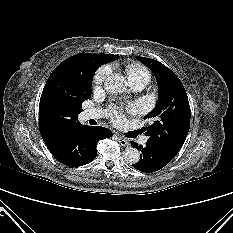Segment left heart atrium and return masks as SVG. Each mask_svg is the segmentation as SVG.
I'll return each mask as SVG.
<instances>
[{
	"label": "left heart atrium",
	"mask_w": 233,
	"mask_h": 233,
	"mask_svg": "<svg viewBox=\"0 0 233 233\" xmlns=\"http://www.w3.org/2000/svg\"><path fill=\"white\" fill-rule=\"evenodd\" d=\"M127 110L131 113L136 112V107L133 105L128 106ZM111 118L115 123H121L124 120L123 110L119 107H113L111 109Z\"/></svg>",
	"instance_id": "1"
}]
</instances>
